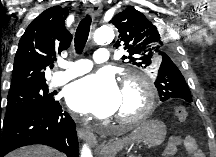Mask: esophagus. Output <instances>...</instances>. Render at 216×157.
I'll use <instances>...</instances> for the list:
<instances>
[{
	"label": "esophagus",
	"instance_id": "34e87169",
	"mask_svg": "<svg viewBox=\"0 0 216 157\" xmlns=\"http://www.w3.org/2000/svg\"><path fill=\"white\" fill-rule=\"evenodd\" d=\"M102 9H103L102 4L97 3L87 10V14L93 15V16H98L102 12ZM77 132L81 138L87 139L94 146L97 145L96 137L94 136V134L92 132L85 130V129H81V128H79L77 130Z\"/></svg>",
	"mask_w": 216,
	"mask_h": 157
}]
</instances>
